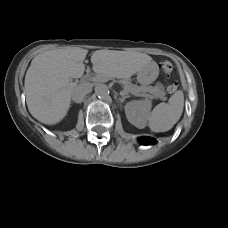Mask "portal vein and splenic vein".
I'll use <instances>...</instances> for the list:
<instances>
[{
    "label": "portal vein and splenic vein",
    "mask_w": 228,
    "mask_h": 228,
    "mask_svg": "<svg viewBox=\"0 0 228 228\" xmlns=\"http://www.w3.org/2000/svg\"><path fill=\"white\" fill-rule=\"evenodd\" d=\"M122 94H126L125 91H122ZM136 96H142V97H148L147 95H143V94H134Z\"/></svg>",
    "instance_id": "1"
}]
</instances>
